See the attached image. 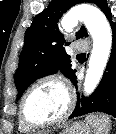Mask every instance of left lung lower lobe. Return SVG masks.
<instances>
[{
    "mask_svg": "<svg viewBox=\"0 0 116 134\" xmlns=\"http://www.w3.org/2000/svg\"><path fill=\"white\" fill-rule=\"evenodd\" d=\"M110 21L113 33L111 55L98 87L89 96L80 99L77 95V105L69 118L94 112H104L116 118V24L111 20V11L105 13ZM77 88L76 76L71 80Z\"/></svg>",
    "mask_w": 116,
    "mask_h": 134,
    "instance_id": "left-lung-lower-lobe-1",
    "label": "left lung lower lobe"
}]
</instances>
